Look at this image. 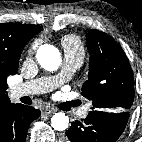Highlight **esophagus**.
I'll use <instances>...</instances> for the list:
<instances>
[{
	"label": "esophagus",
	"mask_w": 142,
	"mask_h": 142,
	"mask_svg": "<svg viewBox=\"0 0 142 142\" xmlns=\"http://www.w3.org/2000/svg\"><path fill=\"white\" fill-rule=\"evenodd\" d=\"M55 111H56L55 108L50 107V106H46L42 109V114L50 115V114L54 113Z\"/></svg>",
	"instance_id": "obj_1"
}]
</instances>
